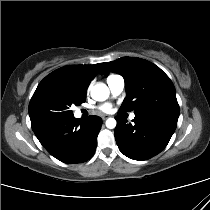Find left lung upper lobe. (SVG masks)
I'll return each mask as SVG.
<instances>
[{
  "mask_svg": "<svg viewBox=\"0 0 210 210\" xmlns=\"http://www.w3.org/2000/svg\"><path fill=\"white\" fill-rule=\"evenodd\" d=\"M103 65L101 74L110 71L124 77L127 96L120 112L134 110L135 116L160 114L179 117L175 87L158 66L137 57H122Z\"/></svg>",
  "mask_w": 210,
  "mask_h": 210,
  "instance_id": "obj_1",
  "label": "left lung upper lobe"
}]
</instances>
